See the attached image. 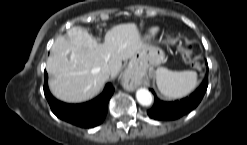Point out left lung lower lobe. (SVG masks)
<instances>
[{
  "label": "left lung lower lobe",
  "mask_w": 247,
  "mask_h": 145,
  "mask_svg": "<svg viewBox=\"0 0 247 145\" xmlns=\"http://www.w3.org/2000/svg\"><path fill=\"white\" fill-rule=\"evenodd\" d=\"M208 86L206 76L203 84L190 97L175 102H163L155 96L153 107L148 115L156 120H175L193 110L202 100ZM153 92V90H152ZM154 93V92H153Z\"/></svg>",
  "instance_id": "obj_1"
}]
</instances>
